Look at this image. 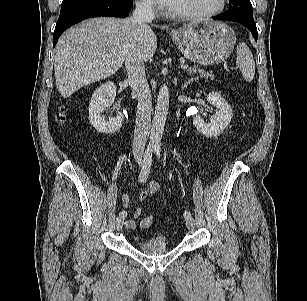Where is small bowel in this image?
<instances>
[{"instance_id":"obj_1","label":"small bowel","mask_w":307,"mask_h":301,"mask_svg":"<svg viewBox=\"0 0 307 301\" xmlns=\"http://www.w3.org/2000/svg\"><path fill=\"white\" fill-rule=\"evenodd\" d=\"M160 189V185L156 180H152L148 183L147 187L139 194V199L143 200L146 197L156 194ZM121 204L125 207L129 206L131 203V197L129 195H122L120 198ZM141 215V209L136 208L133 213V218L127 219L125 221V226L127 228L133 229L136 227V219Z\"/></svg>"}]
</instances>
